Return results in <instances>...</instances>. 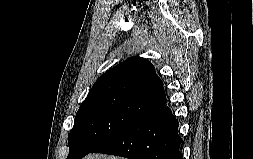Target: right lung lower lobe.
Instances as JSON below:
<instances>
[{"label": "right lung lower lobe", "instance_id": "obj_1", "mask_svg": "<svg viewBox=\"0 0 253 159\" xmlns=\"http://www.w3.org/2000/svg\"><path fill=\"white\" fill-rule=\"evenodd\" d=\"M177 130L178 121L164 103L92 152L129 159H183Z\"/></svg>", "mask_w": 253, "mask_h": 159}]
</instances>
